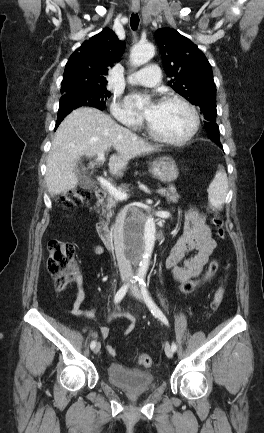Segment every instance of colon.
<instances>
[{
	"label": "colon",
	"instance_id": "5ec220e1",
	"mask_svg": "<svg viewBox=\"0 0 264 433\" xmlns=\"http://www.w3.org/2000/svg\"><path fill=\"white\" fill-rule=\"evenodd\" d=\"M91 193L86 189H77L62 198L61 204L64 208L70 209L83 203L89 199ZM212 225L216 230V235L220 239L225 238V231L223 229V220L213 209ZM48 270L55 278V287L57 291H63L67 285L73 280L77 273L75 261V248L72 243L61 240H52L48 245ZM219 262L212 260L207 266L206 270L201 277L197 279L188 280L179 286L182 294H189L195 291L203 282L210 279L218 270ZM224 296V288L220 286L214 293L213 299L210 304V310L216 311L220 306ZM138 361L145 367L153 365V359L146 354L138 355Z\"/></svg>",
	"mask_w": 264,
	"mask_h": 433
}]
</instances>
